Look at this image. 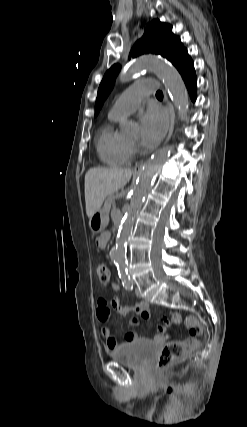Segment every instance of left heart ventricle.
Here are the masks:
<instances>
[{
  "label": "left heart ventricle",
  "mask_w": 247,
  "mask_h": 427,
  "mask_svg": "<svg viewBox=\"0 0 247 427\" xmlns=\"http://www.w3.org/2000/svg\"><path fill=\"white\" fill-rule=\"evenodd\" d=\"M136 139H137L136 137H133V138H131V139H130V142H132V143H133V142H135V141H136Z\"/></svg>",
  "instance_id": "obj_1"
}]
</instances>
